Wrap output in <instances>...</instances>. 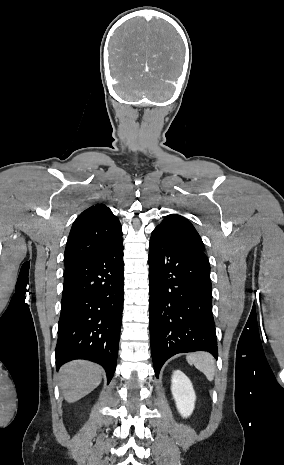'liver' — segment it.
I'll return each instance as SVG.
<instances>
[{
    "label": "liver",
    "mask_w": 284,
    "mask_h": 465,
    "mask_svg": "<svg viewBox=\"0 0 284 465\" xmlns=\"http://www.w3.org/2000/svg\"><path fill=\"white\" fill-rule=\"evenodd\" d=\"M102 381V369L89 361H72L60 371V387L67 403H76Z\"/></svg>",
    "instance_id": "1"
}]
</instances>
